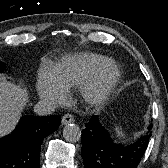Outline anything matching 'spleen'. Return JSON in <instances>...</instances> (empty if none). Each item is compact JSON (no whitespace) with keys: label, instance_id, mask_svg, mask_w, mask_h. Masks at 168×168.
I'll return each mask as SVG.
<instances>
[{"label":"spleen","instance_id":"obj_1","mask_svg":"<svg viewBox=\"0 0 168 168\" xmlns=\"http://www.w3.org/2000/svg\"><path fill=\"white\" fill-rule=\"evenodd\" d=\"M115 135L119 138V139H123L125 137L124 132L122 131L121 128H119L118 126L115 127Z\"/></svg>","mask_w":168,"mask_h":168}]
</instances>
